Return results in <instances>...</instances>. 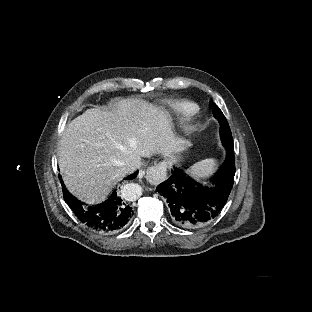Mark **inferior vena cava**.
<instances>
[{
	"mask_svg": "<svg viewBox=\"0 0 312 312\" xmlns=\"http://www.w3.org/2000/svg\"><path fill=\"white\" fill-rule=\"evenodd\" d=\"M144 163L140 157L134 158L126 167L127 174L134 172L135 170L142 167Z\"/></svg>",
	"mask_w": 312,
	"mask_h": 312,
	"instance_id": "1",
	"label": "inferior vena cava"
}]
</instances>
